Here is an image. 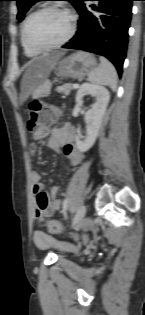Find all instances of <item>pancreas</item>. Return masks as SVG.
I'll return each mask as SVG.
<instances>
[{"label": "pancreas", "instance_id": "obj_1", "mask_svg": "<svg viewBox=\"0 0 145 315\" xmlns=\"http://www.w3.org/2000/svg\"><path fill=\"white\" fill-rule=\"evenodd\" d=\"M72 86H73L72 83H65L61 86H58L56 88V91L59 93H64L65 95H67L70 92V90L72 89Z\"/></svg>", "mask_w": 145, "mask_h": 315}]
</instances>
